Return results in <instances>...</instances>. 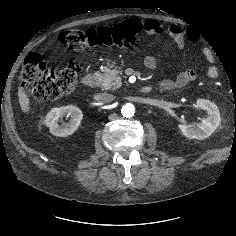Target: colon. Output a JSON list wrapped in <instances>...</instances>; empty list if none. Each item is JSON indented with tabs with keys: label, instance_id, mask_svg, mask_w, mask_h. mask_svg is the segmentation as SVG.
Returning a JSON list of instances; mask_svg holds the SVG:
<instances>
[{
	"label": "colon",
	"instance_id": "colon-1",
	"mask_svg": "<svg viewBox=\"0 0 236 236\" xmlns=\"http://www.w3.org/2000/svg\"><path fill=\"white\" fill-rule=\"evenodd\" d=\"M142 27L137 20H126L107 27L64 31L59 34V40L74 50H92L102 46L123 48L135 43ZM80 68V63L73 62L67 67L53 70L37 53H31L24 61L19 80L36 98L55 100L73 91Z\"/></svg>",
	"mask_w": 236,
	"mask_h": 236
}]
</instances>
